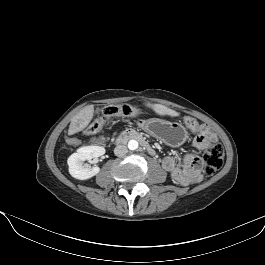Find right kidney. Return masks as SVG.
Masks as SVG:
<instances>
[{"instance_id":"obj_1","label":"right kidney","mask_w":265,"mask_h":265,"mask_svg":"<svg viewBox=\"0 0 265 265\" xmlns=\"http://www.w3.org/2000/svg\"><path fill=\"white\" fill-rule=\"evenodd\" d=\"M105 153V148L102 146H85L77 150L68 158V166L70 175L78 180H87L97 175L100 172L98 166L84 167V161H91L93 158H98Z\"/></svg>"}]
</instances>
